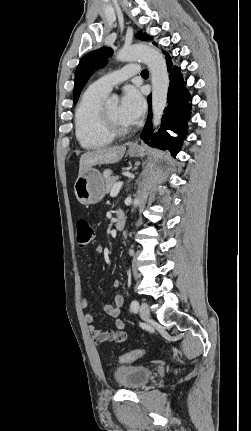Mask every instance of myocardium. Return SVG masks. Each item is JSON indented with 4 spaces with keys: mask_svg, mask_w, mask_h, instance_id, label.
I'll use <instances>...</instances> for the list:
<instances>
[{
    "mask_svg": "<svg viewBox=\"0 0 251 431\" xmlns=\"http://www.w3.org/2000/svg\"><path fill=\"white\" fill-rule=\"evenodd\" d=\"M101 123L103 128L113 137L127 135L131 131L130 126H121L117 124L108 114L105 106H101L100 110Z\"/></svg>",
    "mask_w": 251,
    "mask_h": 431,
    "instance_id": "obj_1",
    "label": "myocardium"
}]
</instances>
